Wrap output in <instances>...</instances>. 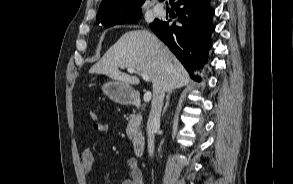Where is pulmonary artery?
Segmentation results:
<instances>
[{"label":"pulmonary artery","mask_w":293,"mask_h":184,"mask_svg":"<svg viewBox=\"0 0 293 184\" xmlns=\"http://www.w3.org/2000/svg\"><path fill=\"white\" fill-rule=\"evenodd\" d=\"M154 11L159 15V16H164L165 15V9L161 6H156L154 8Z\"/></svg>","instance_id":"1"}]
</instances>
